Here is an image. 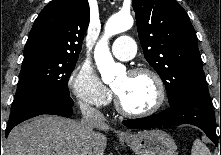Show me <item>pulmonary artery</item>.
I'll list each match as a JSON object with an SVG mask.
<instances>
[{
	"mask_svg": "<svg viewBox=\"0 0 221 155\" xmlns=\"http://www.w3.org/2000/svg\"><path fill=\"white\" fill-rule=\"evenodd\" d=\"M135 42L130 36L118 37L112 45L113 55L120 60H130L135 55Z\"/></svg>",
	"mask_w": 221,
	"mask_h": 155,
	"instance_id": "obj_1",
	"label": "pulmonary artery"
}]
</instances>
